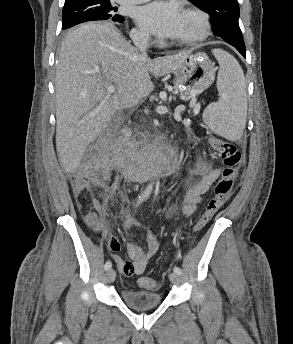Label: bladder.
<instances>
[{"label":"bladder","mask_w":293,"mask_h":344,"mask_svg":"<svg viewBox=\"0 0 293 344\" xmlns=\"http://www.w3.org/2000/svg\"><path fill=\"white\" fill-rule=\"evenodd\" d=\"M121 297L128 306L136 310L155 308L163 301V297L160 293L131 290L127 288L121 289Z\"/></svg>","instance_id":"obj_1"}]
</instances>
